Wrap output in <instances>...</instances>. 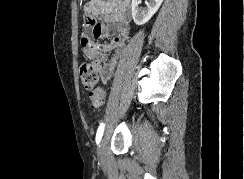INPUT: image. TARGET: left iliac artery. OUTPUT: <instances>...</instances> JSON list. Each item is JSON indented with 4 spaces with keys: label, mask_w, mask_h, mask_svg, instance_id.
I'll return each mask as SVG.
<instances>
[{
    "label": "left iliac artery",
    "mask_w": 244,
    "mask_h": 179,
    "mask_svg": "<svg viewBox=\"0 0 244 179\" xmlns=\"http://www.w3.org/2000/svg\"><path fill=\"white\" fill-rule=\"evenodd\" d=\"M104 127H105V124L104 123H101L98 130H97V133H96V143L99 144L102 136H103V132H104Z\"/></svg>",
    "instance_id": "1"
}]
</instances>
